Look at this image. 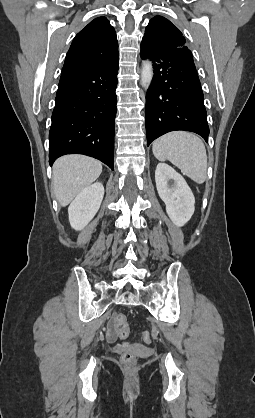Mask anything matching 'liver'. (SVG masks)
I'll return each instance as SVG.
<instances>
[{
  "instance_id": "liver-1",
  "label": "liver",
  "mask_w": 255,
  "mask_h": 418,
  "mask_svg": "<svg viewBox=\"0 0 255 418\" xmlns=\"http://www.w3.org/2000/svg\"><path fill=\"white\" fill-rule=\"evenodd\" d=\"M100 161L84 155H66L53 165V191L61 206H67L101 174Z\"/></svg>"
}]
</instances>
